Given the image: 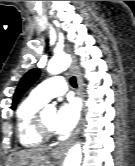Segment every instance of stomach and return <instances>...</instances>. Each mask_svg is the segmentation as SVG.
Segmentation results:
<instances>
[{
	"instance_id": "0dacf381",
	"label": "stomach",
	"mask_w": 135,
	"mask_h": 166,
	"mask_svg": "<svg viewBox=\"0 0 135 166\" xmlns=\"http://www.w3.org/2000/svg\"><path fill=\"white\" fill-rule=\"evenodd\" d=\"M55 158H58V155L53 154ZM7 166H43L41 164H33L30 162L28 165L22 164V157L20 155H13L12 158L9 160Z\"/></svg>"
}]
</instances>
